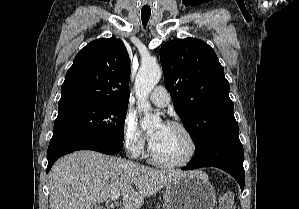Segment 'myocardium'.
Listing matches in <instances>:
<instances>
[{
	"label": "myocardium",
	"instance_id": "f54148a6",
	"mask_svg": "<svg viewBox=\"0 0 299 209\" xmlns=\"http://www.w3.org/2000/svg\"><path fill=\"white\" fill-rule=\"evenodd\" d=\"M165 125L180 130L187 137L190 144V151L183 160L176 161V162H168L156 157V155L153 152L152 146L150 144L148 146V156L151 162L154 165L162 168H181L189 165L195 159L198 153V143L194 134L186 125L178 121H168L166 122Z\"/></svg>",
	"mask_w": 299,
	"mask_h": 209
}]
</instances>
